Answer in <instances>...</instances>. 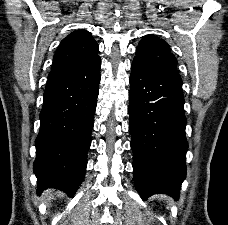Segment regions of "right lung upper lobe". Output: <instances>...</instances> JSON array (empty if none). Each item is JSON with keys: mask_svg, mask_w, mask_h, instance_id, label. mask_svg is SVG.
I'll return each instance as SVG.
<instances>
[{"mask_svg": "<svg viewBox=\"0 0 228 225\" xmlns=\"http://www.w3.org/2000/svg\"><path fill=\"white\" fill-rule=\"evenodd\" d=\"M98 44L89 32L77 30L65 37L60 43L51 71L81 65L98 55Z\"/></svg>", "mask_w": 228, "mask_h": 225, "instance_id": "1", "label": "right lung upper lobe"}]
</instances>
